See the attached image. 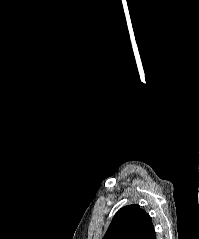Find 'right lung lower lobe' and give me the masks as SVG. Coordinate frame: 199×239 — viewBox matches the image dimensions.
Returning a JSON list of instances; mask_svg holds the SVG:
<instances>
[{
	"label": "right lung lower lobe",
	"instance_id": "obj_1",
	"mask_svg": "<svg viewBox=\"0 0 199 239\" xmlns=\"http://www.w3.org/2000/svg\"><path fill=\"white\" fill-rule=\"evenodd\" d=\"M143 239H156L154 229L150 233H148Z\"/></svg>",
	"mask_w": 199,
	"mask_h": 239
}]
</instances>
